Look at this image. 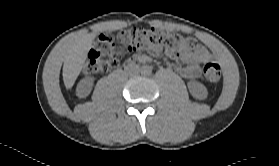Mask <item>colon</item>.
<instances>
[{
    "label": "colon",
    "mask_w": 279,
    "mask_h": 166,
    "mask_svg": "<svg viewBox=\"0 0 279 166\" xmlns=\"http://www.w3.org/2000/svg\"><path fill=\"white\" fill-rule=\"evenodd\" d=\"M118 45H122L128 54L150 51L173 58L190 54L198 48L197 43L188 37L156 28H131L118 34H100L89 53L84 72L99 74L115 68L122 55ZM203 75L211 83L218 82L221 77L220 65L216 62L205 63Z\"/></svg>",
    "instance_id": "1"
}]
</instances>
